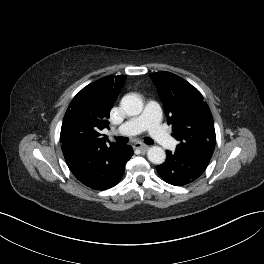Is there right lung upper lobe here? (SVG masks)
I'll return each mask as SVG.
<instances>
[{
  "label": "right lung upper lobe",
  "instance_id": "1",
  "mask_svg": "<svg viewBox=\"0 0 264 264\" xmlns=\"http://www.w3.org/2000/svg\"><path fill=\"white\" fill-rule=\"evenodd\" d=\"M126 76H106L84 87L71 101L61 127L63 153L107 146V136L100 131L108 127L110 110ZM110 145H116L110 142ZM109 145V146H110Z\"/></svg>",
  "mask_w": 264,
  "mask_h": 264
}]
</instances>
